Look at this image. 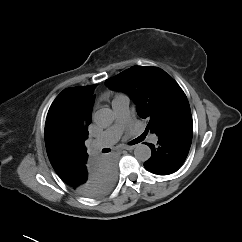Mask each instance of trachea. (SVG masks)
<instances>
[{
    "label": "trachea",
    "instance_id": "trachea-1",
    "mask_svg": "<svg viewBox=\"0 0 242 242\" xmlns=\"http://www.w3.org/2000/svg\"><path fill=\"white\" fill-rule=\"evenodd\" d=\"M140 140H141V139L134 140V141H132V142L130 143V145H134V144H136V143H139ZM102 152H103V153L110 152V149H107V148H106V149H103Z\"/></svg>",
    "mask_w": 242,
    "mask_h": 242
}]
</instances>
